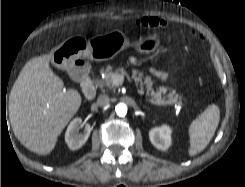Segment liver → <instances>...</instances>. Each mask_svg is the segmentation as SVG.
Segmentation results:
<instances>
[{"label":"liver","mask_w":245,"mask_h":187,"mask_svg":"<svg viewBox=\"0 0 245 187\" xmlns=\"http://www.w3.org/2000/svg\"><path fill=\"white\" fill-rule=\"evenodd\" d=\"M51 53L29 60L9 96L15 137L30 151L48 155L81 105L77 90L65 89L49 66Z\"/></svg>","instance_id":"6515ba94"}]
</instances>
